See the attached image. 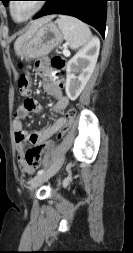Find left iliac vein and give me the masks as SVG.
<instances>
[{"mask_svg": "<svg viewBox=\"0 0 133 253\" xmlns=\"http://www.w3.org/2000/svg\"><path fill=\"white\" fill-rule=\"evenodd\" d=\"M64 162V158H61L55 165H53L46 172L36 175L30 182L29 189L32 192L35 188H37L40 184L50 179L62 166Z\"/></svg>", "mask_w": 133, "mask_h": 253, "instance_id": "1", "label": "left iliac vein"}]
</instances>
